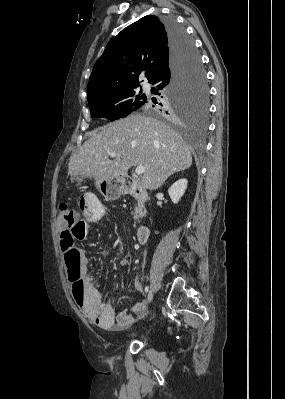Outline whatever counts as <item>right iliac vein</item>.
I'll return each mask as SVG.
<instances>
[{
  "label": "right iliac vein",
  "instance_id": "obj_1",
  "mask_svg": "<svg viewBox=\"0 0 285 399\" xmlns=\"http://www.w3.org/2000/svg\"><path fill=\"white\" fill-rule=\"evenodd\" d=\"M153 298H154V290L151 289L147 296V303H150L153 300Z\"/></svg>",
  "mask_w": 285,
  "mask_h": 399
}]
</instances>
